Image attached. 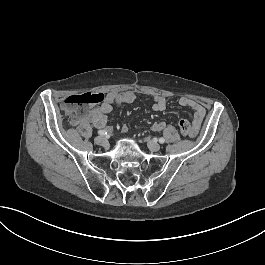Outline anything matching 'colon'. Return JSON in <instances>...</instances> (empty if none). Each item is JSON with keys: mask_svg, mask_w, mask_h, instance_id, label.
<instances>
[{"mask_svg": "<svg viewBox=\"0 0 265 265\" xmlns=\"http://www.w3.org/2000/svg\"><path fill=\"white\" fill-rule=\"evenodd\" d=\"M104 102V95L101 92L73 94L68 100L60 103V114L64 119H74L77 116V109L85 106L101 105ZM180 133L184 137L192 136L193 125L190 120L179 121Z\"/></svg>", "mask_w": 265, "mask_h": 265, "instance_id": "colon-1", "label": "colon"}]
</instances>
